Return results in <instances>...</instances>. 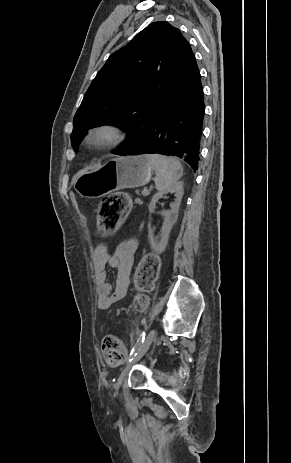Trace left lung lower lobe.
I'll return each mask as SVG.
<instances>
[{"label":"left lung lower lobe","mask_w":291,"mask_h":463,"mask_svg":"<svg viewBox=\"0 0 291 463\" xmlns=\"http://www.w3.org/2000/svg\"><path fill=\"white\" fill-rule=\"evenodd\" d=\"M205 105L199 70L165 103L138 142L118 155L161 154L198 169Z\"/></svg>","instance_id":"1"}]
</instances>
